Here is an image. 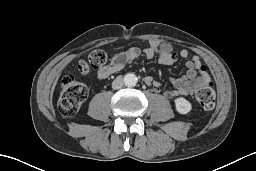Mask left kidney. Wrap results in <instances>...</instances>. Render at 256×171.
Returning <instances> with one entry per match:
<instances>
[{"instance_id": "5707ae66", "label": "left kidney", "mask_w": 256, "mask_h": 171, "mask_svg": "<svg viewBox=\"0 0 256 171\" xmlns=\"http://www.w3.org/2000/svg\"><path fill=\"white\" fill-rule=\"evenodd\" d=\"M175 107L180 114H187L192 109L191 103L183 97L175 99Z\"/></svg>"}]
</instances>
